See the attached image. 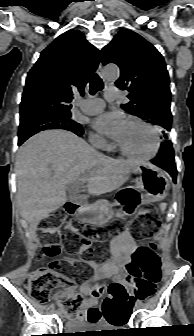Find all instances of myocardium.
<instances>
[{"mask_svg": "<svg viewBox=\"0 0 194 336\" xmlns=\"http://www.w3.org/2000/svg\"><path fill=\"white\" fill-rule=\"evenodd\" d=\"M126 123H135L139 124L146 129H148L151 134L153 135L154 138V146L153 149L150 153L148 154H137V153H132L128 150H126L122 145H120L118 142H116L115 146L116 148L125 156L131 157V158H136V159H143V160H149L154 158L160 151L161 147V139L158 130L152 126L151 124L147 123L146 121L140 119V118H129L127 119Z\"/></svg>", "mask_w": 194, "mask_h": 336, "instance_id": "1", "label": "myocardium"}]
</instances>
